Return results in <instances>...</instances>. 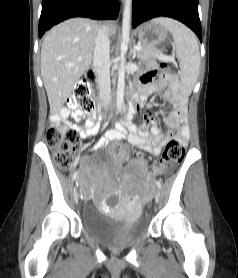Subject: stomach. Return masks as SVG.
Segmentation results:
<instances>
[{
    "label": "stomach",
    "mask_w": 238,
    "mask_h": 278,
    "mask_svg": "<svg viewBox=\"0 0 238 278\" xmlns=\"http://www.w3.org/2000/svg\"><path fill=\"white\" fill-rule=\"evenodd\" d=\"M136 32L142 43L153 47L162 45L169 37L168 30L155 20L139 26Z\"/></svg>",
    "instance_id": "obj_1"
}]
</instances>
